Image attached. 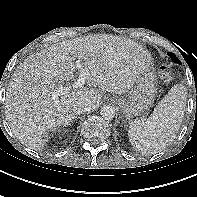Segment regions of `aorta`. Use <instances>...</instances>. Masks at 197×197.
<instances>
[{"label": "aorta", "instance_id": "obj_1", "mask_svg": "<svg viewBox=\"0 0 197 197\" xmlns=\"http://www.w3.org/2000/svg\"><path fill=\"white\" fill-rule=\"evenodd\" d=\"M101 116L106 120H111L115 117V109L112 106H104L100 111Z\"/></svg>", "mask_w": 197, "mask_h": 197}]
</instances>
